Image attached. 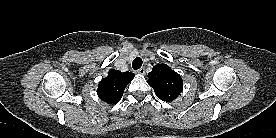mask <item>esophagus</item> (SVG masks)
<instances>
[{"instance_id":"34e87169","label":"esophagus","mask_w":276,"mask_h":138,"mask_svg":"<svg viewBox=\"0 0 276 138\" xmlns=\"http://www.w3.org/2000/svg\"><path fill=\"white\" fill-rule=\"evenodd\" d=\"M137 72L141 75H144L145 74V68L141 67Z\"/></svg>"}]
</instances>
